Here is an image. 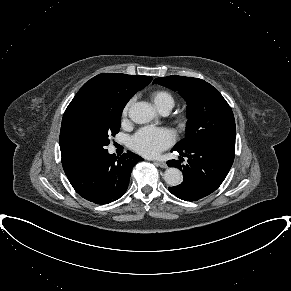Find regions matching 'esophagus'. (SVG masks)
<instances>
[{"label": "esophagus", "instance_id": "esophagus-1", "mask_svg": "<svg viewBox=\"0 0 291 291\" xmlns=\"http://www.w3.org/2000/svg\"><path fill=\"white\" fill-rule=\"evenodd\" d=\"M154 164L160 166L161 168H167V164L162 161H154Z\"/></svg>", "mask_w": 291, "mask_h": 291}]
</instances>
